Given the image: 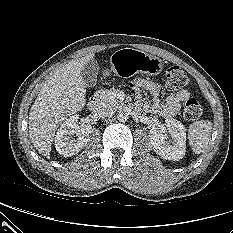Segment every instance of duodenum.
<instances>
[{"instance_id": "1", "label": "duodenum", "mask_w": 233, "mask_h": 233, "mask_svg": "<svg viewBox=\"0 0 233 233\" xmlns=\"http://www.w3.org/2000/svg\"><path fill=\"white\" fill-rule=\"evenodd\" d=\"M98 103H99V97L97 95H93L89 99L88 106L89 108L94 109L95 107H97Z\"/></svg>"}]
</instances>
